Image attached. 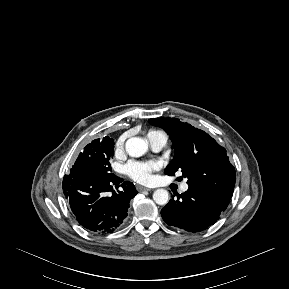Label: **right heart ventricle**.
Returning <instances> with one entry per match:
<instances>
[{
  "label": "right heart ventricle",
  "instance_id": "right-heart-ventricle-1",
  "mask_svg": "<svg viewBox=\"0 0 289 289\" xmlns=\"http://www.w3.org/2000/svg\"><path fill=\"white\" fill-rule=\"evenodd\" d=\"M154 133H159V131L151 130V131L148 132V135H150V134H154ZM148 135H147V136H148Z\"/></svg>",
  "mask_w": 289,
  "mask_h": 289
}]
</instances>
